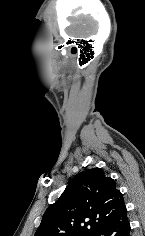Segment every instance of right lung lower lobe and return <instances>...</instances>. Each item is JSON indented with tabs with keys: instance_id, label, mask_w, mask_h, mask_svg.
Instances as JSON below:
<instances>
[{
	"instance_id": "1",
	"label": "right lung lower lobe",
	"mask_w": 145,
	"mask_h": 236,
	"mask_svg": "<svg viewBox=\"0 0 145 236\" xmlns=\"http://www.w3.org/2000/svg\"><path fill=\"white\" fill-rule=\"evenodd\" d=\"M93 236H130V223L126 207L97 230Z\"/></svg>"
}]
</instances>
